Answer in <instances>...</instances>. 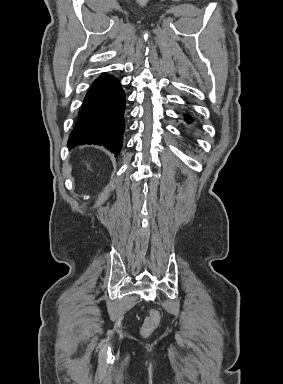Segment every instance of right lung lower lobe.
Wrapping results in <instances>:
<instances>
[{
    "label": "right lung lower lobe",
    "instance_id": "98d812e1",
    "mask_svg": "<svg viewBox=\"0 0 283 384\" xmlns=\"http://www.w3.org/2000/svg\"><path fill=\"white\" fill-rule=\"evenodd\" d=\"M124 111L125 94L119 80L102 74L84 98L68 147L98 144L118 154L125 130Z\"/></svg>",
    "mask_w": 283,
    "mask_h": 384
}]
</instances>
